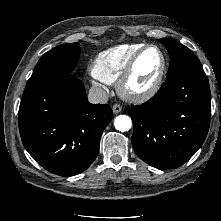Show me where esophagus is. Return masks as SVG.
Masks as SVG:
<instances>
[{"instance_id":"34e87169","label":"esophagus","mask_w":221,"mask_h":221,"mask_svg":"<svg viewBox=\"0 0 221 221\" xmlns=\"http://www.w3.org/2000/svg\"><path fill=\"white\" fill-rule=\"evenodd\" d=\"M112 110L114 114H118L122 111V106L119 104H115L113 105Z\"/></svg>"}]
</instances>
